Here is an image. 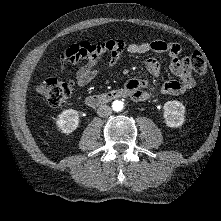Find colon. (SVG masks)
Instances as JSON below:
<instances>
[{"label":"colon","instance_id":"obj_1","mask_svg":"<svg viewBox=\"0 0 221 221\" xmlns=\"http://www.w3.org/2000/svg\"><path fill=\"white\" fill-rule=\"evenodd\" d=\"M79 49L72 45L61 54L63 62L73 63L79 58ZM188 65L198 74L204 75L207 72V65L204 57L196 52L186 59ZM71 82L61 81L57 78H49L37 86L39 96L50 106L60 107L66 104L73 93Z\"/></svg>","mask_w":221,"mask_h":221}]
</instances>
